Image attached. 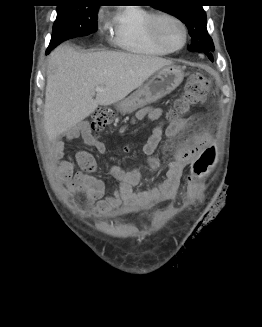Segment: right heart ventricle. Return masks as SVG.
Listing matches in <instances>:
<instances>
[{"label":"right heart ventricle","mask_w":262,"mask_h":327,"mask_svg":"<svg viewBox=\"0 0 262 327\" xmlns=\"http://www.w3.org/2000/svg\"><path fill=\"white\" fill-rule=\"evenodd\" d=\"M155 13L140 7L119 9L110 21L113 43L137 54L164 56L169 50L153 37L150 22Z\"/></svg>","instance_id":"1"}]
</instances>
